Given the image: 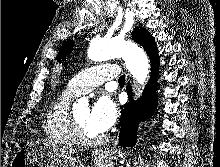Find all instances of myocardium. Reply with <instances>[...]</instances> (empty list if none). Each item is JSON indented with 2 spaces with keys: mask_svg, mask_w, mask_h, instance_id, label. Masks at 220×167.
Masks as SVG:
<instances>
[{
  "mask_svg": "<svg viewBox=\"0 0 220 167\" xmlns=\"http://www.w3.org/2000/svg\"><path fill=\"white\" fill-rule=\"evenodd\" d=\"M70 128L73 140L76 144L81 146H95L104 142L105 136L100 135L96 138H87L80 127L74 111L70 112Z\"/></svg>",
  "mask_w": 220,
  "mask_h": 167,
  "instance_id": "1",
  "label": "myocardium"
}]
</instances>
